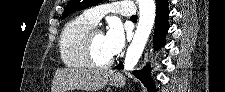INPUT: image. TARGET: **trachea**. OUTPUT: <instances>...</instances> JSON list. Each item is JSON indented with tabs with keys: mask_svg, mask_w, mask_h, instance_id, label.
Wrapping results in <instances>:
<instances>
[{
	"mask_svg": "<svg viewBox=\"0 0 225 92\" xmlns=\"http://www.w3.org/2000/svg\"><path fill=\"white\" fill-rule=\"evenodd\" d=\"M131 18L132 19H137V16L136 15H133Z\"/></svg>",
	"mask_w": 225,
	"mask_h": 92,
	"instance_id": "trachea-1",
	"label": "trachea"
}]
</instances>
